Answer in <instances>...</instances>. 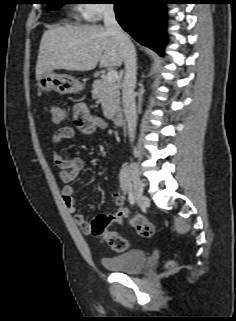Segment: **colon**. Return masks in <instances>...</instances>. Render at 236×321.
Wrapping results in <instances>:
<instances>
[{
    "label": "colon",
    "instance_id": "obj_1",
    "mask_svg": "<svg viewBox=\"0 0 236 321\" xmlns=\"http://www.w3.org/2000/svg\"><path fill=\"white\" fill-rule=\"evenodd\" d=\"M51 120L54 125L61 124L65 119L64 110L57 106L51 105L49 108ZM123 218L128 219L131 227L142 237H150L154 233L153 223L141 214H133L130 210L119 209L113 214H100L91 223L88 234L93 236H103L107 245L114 251L123 252L128 247L127 240L117 231L109 230L108 227L114 222H120ZM170 267L173 266L171 263Z\"/></svg>",
    "mask_w": 236,
    "mask_h": 321
}]
</instances>
